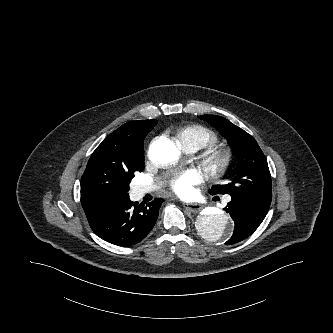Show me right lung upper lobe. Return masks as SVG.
<instances>
[{
  "instance_id": "right-lung-upper-lobe-1",
  "label": "right lung upper lobe",
  "mask_w": 333,
  "mask_h": 333,
  "mask_svg": "<svg viewBox=\"0 0 333 333\" xmlns=\"http://www.w3.org/2000/svg\"><path fill=\"white\" fill-rule=\"evenodd\" d=\"M144 121L125 123L107 136L91 155L81 178V203L86 215L114 202L93 187L92 177L96 169L106 164L125 165L143 157Z\"/></svg>"
}]
</instances>
